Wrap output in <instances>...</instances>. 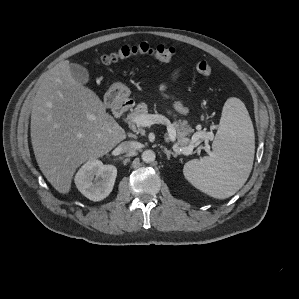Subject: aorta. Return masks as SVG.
Here are the masks:
<instances>
[{"instance_id": "aorta-1", "label": "aorta", "mask_w": 299, "mask_h": 299, "mask_svg": "<svg viewBox=\"0 0 299 299\" xmlns=\"http://www.w3.org/2000/svg\"><path fill=\"white\" fill-rule=\"evenodd\" d=\"M141 158L145 163H151L155 160L156 154L153 150H145L143 151Z\"/></svg>"}]
</instances>
